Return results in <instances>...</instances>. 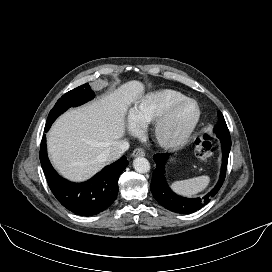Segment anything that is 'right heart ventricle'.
Listing matches in <instances>:
<instances>
[{"label":"right heart ventricle","instance_id":"e07e8e85","mask_svg":"<svg viewBox=\"0 0 272 272\" xmlns=\"http://www.w3.org/2000/svg\"><path fill=\"white\" fill-rule=\"evenodd\" d=\"M183 98H186L184 94L172 89L150 93L133 108L130 114L131 124L136 129H144L154 123L170 104Z\"/></svg>","mask_w":272,"mask_h":272}]
</instances>
